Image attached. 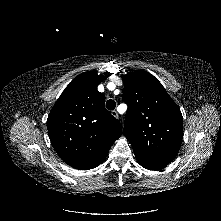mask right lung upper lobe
I'll return each instance as SVG.
<instances>
[{
	"instance_id": "obj_1",
	"label": "right lung upper lobe",
	"mask_w": 221,
	"mask_h": 221,
	"mask_svg": "<svg viewBox=\"0 0 221 221\" xmlns=\"http://www.w3.org/2000/svg\"><path fill=\"white\" fill-rule=\"evenodd\" d=\"M102 80V75L79 74L63 91L47 119L55 151L76 169L100 165L122 133L120 122L105 109V96L97 90Z\"/></svg>"
}]
</instances>
